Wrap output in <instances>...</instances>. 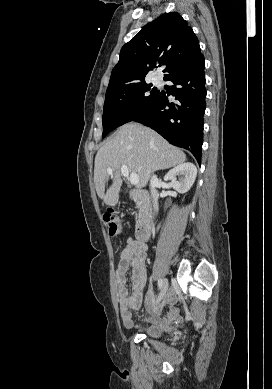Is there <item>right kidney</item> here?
I'll return each mask as SVG.
<instances>
[{"mask_svg": "<svg viewBox=\"0 0 272 389\" xmlns=\"http://www.w3.org/2000/svg\"><path fill=\"white\" fill-rule=\"evenodd\" d=\"M177 176H180L177 180ZM197 176V168L193 163H182L171 169L164 177L170 180L173 189L179 193H186L193 186Z\"/></svg>", "mask_w": 272, "mask_h": 389, "instance_id": "ca27d5eb", "label": "right kidney"}]
</instances>
